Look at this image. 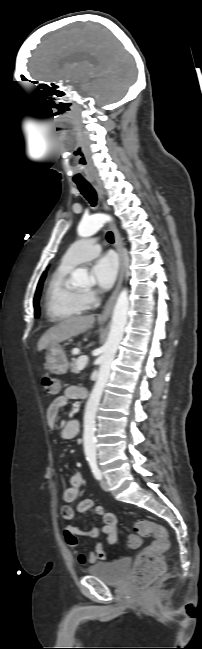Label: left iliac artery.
Wrapping results in <instances>:
<instances>
[{"label":"left iliac artery","instance_id":"44dca946","mask_svg":"<svg viewBox=\"0 0 202 649\" xmlns=\"http://www.w3.org/2000/svg\"><path fill=\"white\" fill-rule=\"evenodd\" d=\"M88 461L90 464L91 471L96 479L100 480L102 478V473L97 465V458L95 455L88 456Z\"/></svg>","mask_w":202,"mask_h":649}]
</instances>
